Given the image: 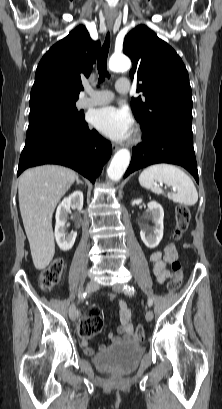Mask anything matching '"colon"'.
<instances>
[{
	"mask_svg": "<svg viewBox=\"0 0 222 409\" xmlns=\"http://www.w3.org/2000/svg\"><path fill=\"white\" fill-rule=\"evenodd\" d=\"M191 214L186 206H179L175 212V229L174 238L180 239L188 228ZM179 263V266H176ZM171 267L174 272V279L168 283V290L174 291L178 288L182 278V266L179 261H171ZM64 270V260L62 258L54 259L50 265L44 269L39 277L40 287L45 292L52 291L59 283ZM102 328V320L96 308H89L86 312L85 318L78 326V332L81 339L90 340ZM136 338L138 341L144 340V329L141 325L136 328Z\"/></svg>",
	"mask_w": 222,
	"mask_h": 409,
	"instance_id": "obj_1",
	"label": "colon"
}]
</instances>
